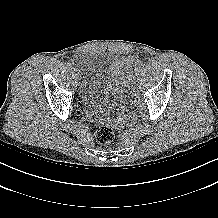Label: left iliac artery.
Masks as SVG:
<instances>
[{
	"label": "left iliac artery",
	"instance_id": "obj_1",
	"mask_svg": "<svg viewBox=\"0 0 218 218\" xmlns=\"http://www.w3.org/2000/svg\"><path fill=\"white\" fill-rule=\"evenodd\" d=\"M143 67V64L142 63H139L138 65L135 66V68H133L131 70V73L129 75V79L130 80H133L134 79V76H135V73L138 72L141 68Z\"/></svg>",
	"mask_w": 218,
	"mask_h": 218
}]
</instances>
